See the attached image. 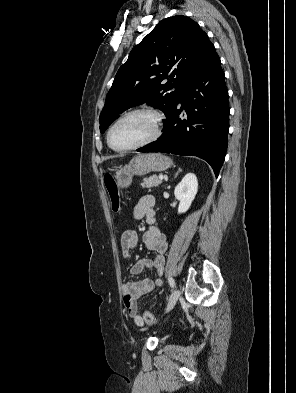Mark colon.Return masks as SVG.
I'll return each instance as SVG.
<instances>
[{"label":"colon","mask_w":296,"mask_h":393,"mask_svg":"<svg viewBox=\"0 0 296 393\" xmlns=\"http://www.w3.org/2000/svg\"><path fill=\"white\" fill-rule=\"evenodd\" d=\"M103 184H104L106 191L109 194L112 211L117 213L120 210V197H119V193H118L117 184H116V181H115L113 175L106 174L103 178ZM143 319L148 324H154L156 322L155 317L148 310H146L143 313Z\"/></svg>","instance_id":"1"}]
</instances>
